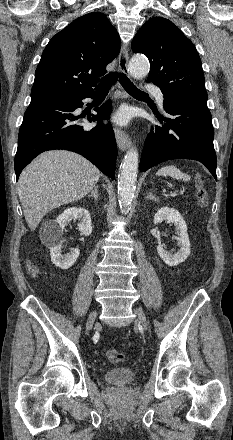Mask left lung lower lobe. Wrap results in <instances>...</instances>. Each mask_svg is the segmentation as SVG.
Returning <instances> with one entry per match:
<instances>
[{
	"label": "left lung lower lobe",
	"mask_w": 233,
	"mask_h": 440,
	"mask_svg": "<svg viewBox=\"0 0 233 440\" xmlns=\"http://www.w3.org/2000/svg\"><path fill=\"white\" fill-rule=\"evenodd\" d=\"M163 104L168 117L157 114L161 126H155L145 141L140 171L169 159H193L203 163L217 180L214 130L207 100L164 97Z\"/></svg>",
	"instance_id": "1"
}]
</instances>
